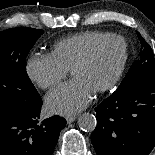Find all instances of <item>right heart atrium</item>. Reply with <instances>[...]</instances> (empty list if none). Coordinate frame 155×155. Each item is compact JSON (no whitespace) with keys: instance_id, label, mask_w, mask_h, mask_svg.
<instances>
[{"instance_id":"d8ad5b80","label":"right heart atrium","mask_w":155,"mask_h":155,"mask_svg":"<svg viewBox=\"0 0 155 155\" xmlns=\"http://www.w3.org/2000/svg\"><path fill=\"white\" fill-rule=\"evenodd\" d=\"M29 79L41 89H50L58 85L65 77L64 70L51 54H32L26 63Z\"/></svg>"}]
</instances>
